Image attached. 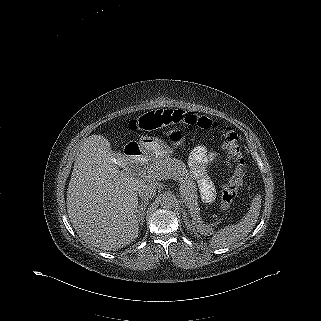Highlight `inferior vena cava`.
<instances>
[{
    "label": "inferior vena cava",
    "mask_w": 321,
    "mask_h": 321,
    "mask_svg": "<svg viewBox=\"0 0 321 321\" xmlns=\"http://www.w3.org/2000/svg\"><path fill=\"white\" fill-rule=\"evenodd\" d=\"M138 194L142 200L148 201L155 196L156 187L154 184H150V183L145 184L144 183L138 189Z\"/></svg>",
    "instance_id": "602c4592"
}]
</instances>
